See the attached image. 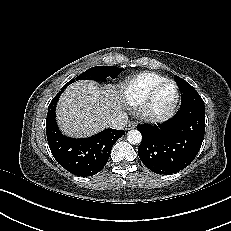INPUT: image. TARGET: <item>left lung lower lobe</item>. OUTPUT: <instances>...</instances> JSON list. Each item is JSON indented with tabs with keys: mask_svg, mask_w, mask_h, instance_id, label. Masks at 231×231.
Here are the masks:
<instances>
[{
	"mask_svg": "<svg viewBox=\"0 0 231 231\" xmlns=\"http://www.w3.org/2000/svg\"><path fill=\"white\" fill-rule=\"evenodd\" d=\"M142 142L138 155L157 174L170 175L186 168L200 150L205 133L204 103L181 104L170 120L138 125Z\"/></svg>",
	"mask_w": 231,
	"mask_h": 231,
	"instance_id": "1",
	"label": "left lung lower lobe"
}]
</instances>
